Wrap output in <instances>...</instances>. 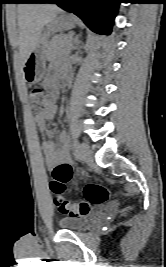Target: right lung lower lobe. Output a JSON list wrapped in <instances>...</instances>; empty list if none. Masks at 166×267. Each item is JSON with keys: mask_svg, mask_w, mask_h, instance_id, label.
Segmentation results:
<instances>
[{"mask_svg": "<svg viewBox=\"0 0 166 267\" xmlns=\"http://www.w3.org/2000/svg\"><path fill=\"white\" fill-rule=\"evenodd\" d=\"M43 0H26V3H42Z\"/></svg>", "mask_w": 166, "mask_h": 267, "instance_id": "1", "label": "right lung lower lobe"}]
</instances>
